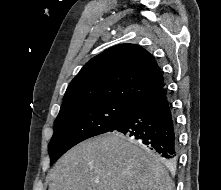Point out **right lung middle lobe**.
Returning a JSON list of instances; mask_svg holds the SVG:
<instances>
[{
	"instance_id": "right-lung-middle-lobe-1",
	"label": "right lung middle lobe",
	"mask_w": 221,
	"mask_h": 190,
	"mask_svg": "<svg viewBox=\"0 0 221 190\" xmlns=\"http://www.w3.org/2000/svg\"><path fill=\"white\" fill-rule=\"evenodd\" d=\"M131 107L119 101L104 100L61 108L54 122V134L48 148L50 164L81 141L111 132Z\"/></svg>"
}]
</instances>
